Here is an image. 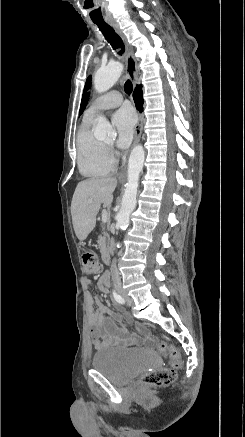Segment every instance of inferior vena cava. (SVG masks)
I'll use <instances>...</instances> for the list:
<instances>
[{
    "label": "inferior vena cava",
    "mask_w": 245,
    "mask_h": 437,
    "mask_svg": "<svg viewBox=\"0 0 245 437\" xmlns=\"http://www.w3.org/2000/svg\"><path fill=\"white\" fill-rule=\"evenodd\" d=\"M111 275H112V281L115 286H119L121 284L120 274L116 267L115 263H112L111 265Z\"/></svg>",
    "instance_id": "inferior-vena-cava-1"
}]
</instances>
